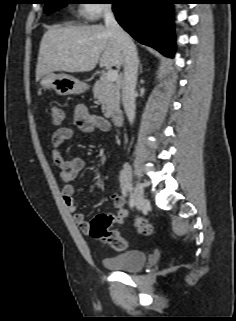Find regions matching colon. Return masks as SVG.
<instances>
[{
  "label": "colon",
  "instance_id": "obj_1",
  "mask_svg": "<svg viewBox=\"0 0 236 321\" xmlns=\"http://www.w3.org/2000/svg\"><path fill=\"white\" fill-rule=\"evenodd\" d=\"M50 114L54 125H60L65 120V111L59 106H51ZM126 214L125 210H119L115 214H99L89 223L87 233L95 239L104 241L112 249L122 251L127 247V242L119 231L112 229L111 226L114 223L121 222ZM133 224L142 235L152 233V225L143 217H136Z\"/></svg>",
  "mask_w": 236,
  "mask_h": 321
}]
</instances>
